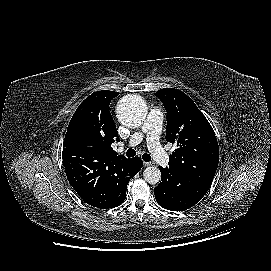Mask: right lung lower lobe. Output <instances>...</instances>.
I'll list each match as a JSON object with an SVG mask.
<instances>
[{
    "label": "right lung lower lobe",
    "instance_id": "98d812e1",
    "mask_svg": "<svg viewBox=\"0 0 271 271\" xmlns=\"http://www.w3.org/2000/svg\"><path fill=\"white\" fill-rule=\"evenodd\" d=\"M63 164L82 200L100 209L119 206L128 182L143 166L139 157L110 158L79 150H63Z\"/></svg>",
    "mask_w": 271,
    "mask_h": 271
}]
</instances>
